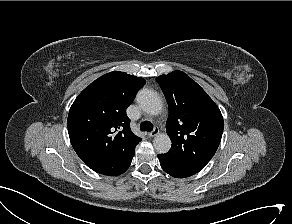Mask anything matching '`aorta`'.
Returning a JSON list of instances; mask_svg holds the SVG:
<instances>
[{"mask_svg": "<svg viewBox=\"0 0 292 224\" xmlns=\"http://www.w3.org/2000/svg\"><path fill=\"white\" fill-rule=\"evenodd\" d=\"M136 100L140 108L147 114L158 115L162 110L161 98L152 90L139 91ZM153 145L158 153L164 154L171 148V139L166 133H160L155 136Z\"/></svg>", "mask_w": 292, "mask_h": 224, "instance_id": "762f6f07", "label": "aorta"}]
</instances>
